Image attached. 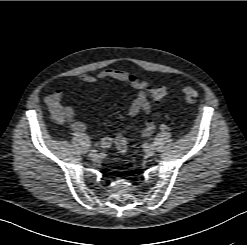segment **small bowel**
<instances>
[{
  "mask_svg": "<svg viewBox=\"0 0 247 245\" xmlns=\"http://www.w3.org/2000/svg\"><path fill=\"white\" fill-rule=\"evenodd\" d=\"M116 80L131 86L137 95L129 107L128 114L130 117H135L139 113H143L146 117L144 128L141 132V138L150 137L155 130V123L150 118L151 105L147 99V91L151 88V83L140 79L137 75L115 69L105 68L97 74H82L78 77L79 82L84 84H95L101 80ZM63 92L55 90L46 98V105L49 108L54 119L60 123L66 124L70 130L76 134H83L86 131V125L75 119L74 110L70 106L62 104ZM112 140L110 137H102L100 146L104 149L110 147Z\"/></svg>",
  "mask_w": 247,
  "mask_h": 245,
  "instance_id": "small-bowel-1",
  "label": "small bowel"
}]
</instances>
